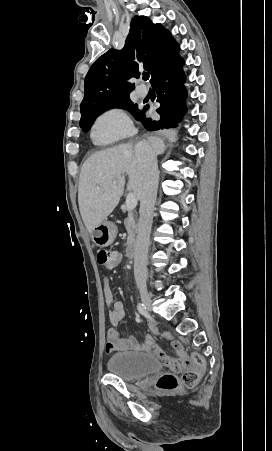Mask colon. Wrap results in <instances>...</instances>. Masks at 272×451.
<instances>
[{"mask_svg":"<svg viewBox=\"0 0 272 451\" xmlns=\"http://www.w3.org/2000/svg\"><path fill=\"white\" fill-rule=\"evenodd\" d=\"M96 261L102 266H117L121 261V254L115 251L102 250L96 254ZM178 344H174L176 348ZM164 367H172V372L162 374L157 380V388L161 391H172L180 387V382L176 374H183L182 383L186 387L195 384L197 380L196 374H204L205 358H193L190 355H183L179 351L176 358L165 357L159 355Z\"/></svg>","mask_w":272,"mask_h":451,"instance_id":"obj_1","label":"colon"}]
</instances>
